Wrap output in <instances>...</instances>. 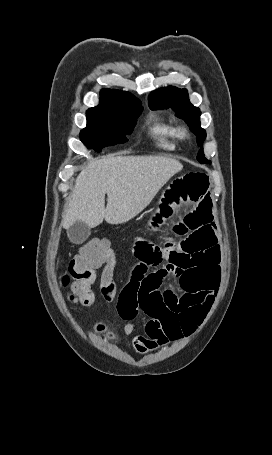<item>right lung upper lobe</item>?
Instances as JSON below:
<instances>
[{
  "label": "right lung upper lobe",
  "mask_w": 272,
  "mask_h": 455,
  "mask_svg": "<svg viewBox=\"0 0 272 455\" xmlns=\"http://www.w3.org/2000/svg\"><path fill=\"white\" fill-rule=\"evenodd\" d=\"M100 104L88 111H116L134 102H140L131 93L112 89H102L100 92Z\"/></svg>",
  "instance_id": "right-lung-upper-lobe-1"
}]
</instances>
